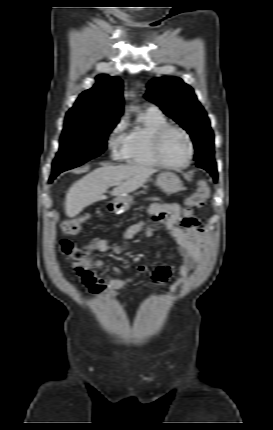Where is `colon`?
Wrapping results in <instances>:
<instances>
[{
	"label": "colon",
	"mask_w": 273,
	"mask_h": 430,
	"mask_svg": "<svg viewBox=\"0 0 273 430\" xmlns=\"http://www.w3.org/2000/svg\"><path fill=\"white\" fill-rule=\"evenodd\" d=\"M209 193L208 185L204 181H201L198 189L186 198L187 210L201 208L209 197ZM86 219L87 216H84L67 221L62 227L63 232L68 236L76 235L81 230ZM59 248L63 254L75 263H81L80 259L85 256L87 257L89 251L88 246H75L68 239L60 240Z\"/></svg>",
	"instance_id": "5ec220e1"
}]
</instances>
